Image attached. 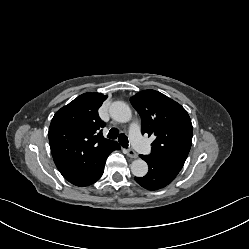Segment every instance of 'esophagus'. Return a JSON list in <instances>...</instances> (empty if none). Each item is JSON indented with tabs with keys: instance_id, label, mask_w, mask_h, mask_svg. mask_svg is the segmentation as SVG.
<instances>
[{
	"instance_id": "esophagus-1",
	"label": "esophagus",
	"mask_w": 249,
	"mask_h": 249,
	"mask_svg": "<svg viewBox=\"0 0 249 249\" xmlns=\"http://www.w3.org/2000/svg\"><path fill=\"white\" fill-rule=\"evenodd\" d=\"M126 154L128 155V157L133 158V159L138 157V154L131 148L126 150Z\"/></svg>"
}]
</instances>
